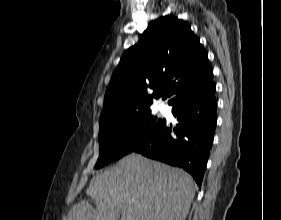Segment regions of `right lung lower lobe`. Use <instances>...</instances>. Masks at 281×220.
Listing matches in <instances>:
<instances>
[{
  "label": "right lung lower lobe",
  "instance_id": "right-lung-lower-lobe-1",
  "mask_svg": "<svg viewBox=\"0 0 281 220\" xmlns=\"http://www.w3.org/2000/svg\"><path fill=\"white\" fill-rule=\"evenodd\" d=\"M215 83L175 97L169 105L177 117V129L166 122L150 139L134 149V152L183 168L189 172L201 188L209 151L212 147L216 125L217 101Z\"/></svg>",
  "mask_w": 281,
  "mask_h": 220
}]
</instances>
